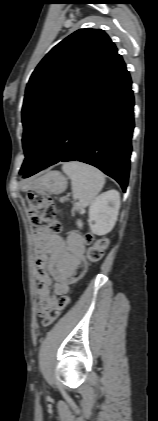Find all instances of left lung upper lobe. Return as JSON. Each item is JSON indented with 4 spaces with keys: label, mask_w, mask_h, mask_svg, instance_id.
<instances>
[{
    "label": "left lung upper lobe",
    "mask_w": 158,
    "mask_h": 421,
    "mask_svg": "<svg viewBox=\"0 0 158 421\" xmlns=\"http://www.w3.org/2000/svg\"><path fill=\"white\" fill-rule=\"evenodd\" d=\"M116 53L103 30L86 28L58 43L38 64L22 108L25 160L21 175L35 162L63 111Z\"/></svg>",
    "instance_id": "left-lung-upper-lobe-1"
}]
</instances>
